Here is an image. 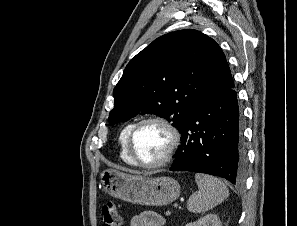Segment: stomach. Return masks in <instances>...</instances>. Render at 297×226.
I'll list each match as a JSON object with an SVG mask.
<instances>
[{
  "label": "stomach",
  "instance_id": "0dacf381",
  "mask_svg": "<svg viewBox=\"0 0 297 226\" xmlns=\"http://www.w3.org/2000/svg\"><path fill=\"white\" fill-rule=\"evenodd\" d=\"M104 190L126 202L148 206H162L180 196V185L171 177L129 175L107 169L100 175Z\"/></svg>",
  "mask_w": 297,
  "mask_h": 226
}]
</instances>
